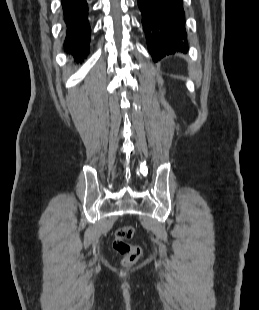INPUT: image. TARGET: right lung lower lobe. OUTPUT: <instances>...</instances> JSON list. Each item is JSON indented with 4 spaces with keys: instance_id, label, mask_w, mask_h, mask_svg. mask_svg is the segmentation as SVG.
<instances>
[{
    "instance_id": "1",
    "label": "right lung lower lobe",
    "mask_w": 259,
    "mask_h": 310,
    "mask_svg": "<svg viewBox=\"0 0 259 310\" xmlns=\"http://www.w3.org/2000/svg\"><path fill=\"white\" fill-rule=\"evenodd\" d=\"M66 25L65 50L80 62L89 50L90 27L87 20L86 0H62Z\"/></svg>"
}]
</instances>
